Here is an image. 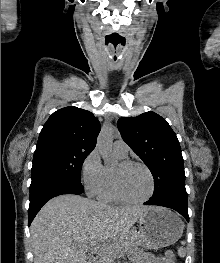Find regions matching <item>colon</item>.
I'll return each mask as SVG.
<instances>
[{
    "mask_svg": "<svg viewBox=\"0 0 220 263\" xmlns=\"http://www.w3.org/2000/svg\"><path fill=\"white\" fill-rule=\"evenodd\" d=\"M165 258L169 261V263H175V254L172 251H167L165 254Z\"/></svg>",
    "mask_w": 220,
    "mask_h": 263,
    "instance_id": "1",
    "label": "colon"
}]
</instances>
